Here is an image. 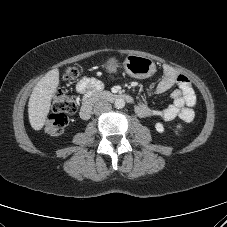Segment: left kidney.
Returning <instances> with one entry per match:
<instances>
[{
  "label": "left kidney",
  "instance_id": "obj_1",
  "mask_svg": "<svg viewBox=\"0 0 227 227\" xmlns=\"http://www.w3.org/2000/svg\"><path fill=\"white\" fill-rule=\"evenodd\" d=\"M155 129H156V131L159 132V133H163V132H164V126H163V124L160 123V122H157V123L155 124Z\"/></svg>",
  "mask_w": 227,
  "mask_h": 227
}]
</instances>
